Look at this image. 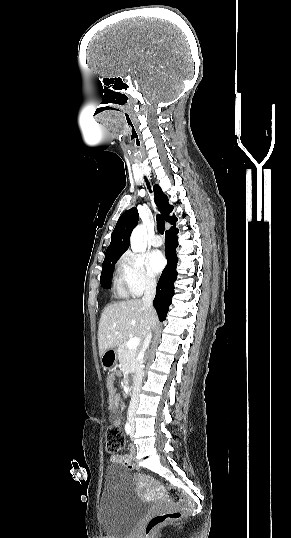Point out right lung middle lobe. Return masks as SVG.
<instances>
[{
    "label": "right lung middle lobe",
    "instance_id": "right-lung-middle-lobe-1",
    "mask_svg": "<svg viewBox=\"0 0 291 538\" xmlns=\"http://www.w3.org/2000/svg\"><path fill=\"white\" fill-rule=\"evenodd\" d=\"M118 259H112L106 262H103L102 264V272H101V285L104 288L109 289L110 288V279L112 276L113 268Z\"/></svg>",
    "mask_w": 291,
    "mask_h": 538
}]
</instances>
